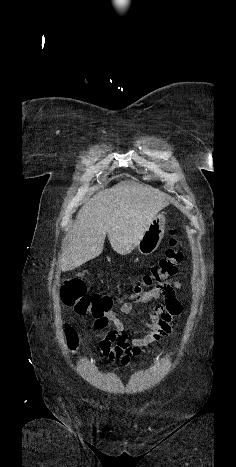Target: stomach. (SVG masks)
Segmentation results:
<instances>
[{"mask_svg":"<svg viewBox=\"0 0 236 467\" xmlns=\"http://www.w3.org/2000/svg\"><path fill=\"white\" fill-rule=\"evenodd\" d=\"M165 231V216L158 214L147 226L136 248L143 255L152 254L159 246Z\"/></svg>","mask_w":236,"mask_h":467,"instance_id":"obj_1","label":"stomach"}]
</instances>
